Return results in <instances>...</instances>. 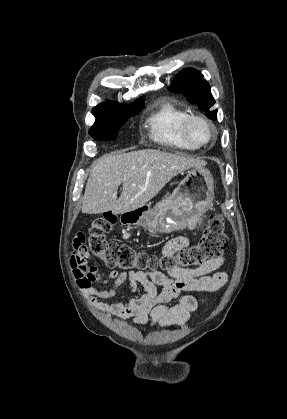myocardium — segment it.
<instances>
[{"instance_id": "f54148a6", "label": "myocardium", "mask_w": 287, "mask_h": 419, "mask_svg": "<svg viewBox=\"0 0 287 419\" xmlns=\"http://www.w3.org/2000/svg\"><path fill=\"white\" fill-rule=\"evenodd\" d=\"M192 122H199L202 123L206 129L209 132V136L207 138V140L202 141V142H196L194 141L189 134V126ZM180 131L182 136L184 137V139L191 144L192 146L199 148V147H203L205 145H208L210 142H212L214 140L215 137V132H214V128L212 126V124L203 116L200 115H196V114H187L183 120L181 121L180 124Z\"/></svg>"}]
</instances>
